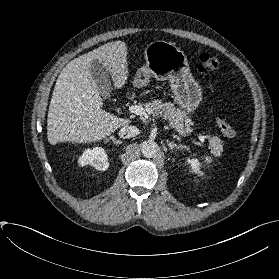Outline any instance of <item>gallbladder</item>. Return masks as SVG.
I'll return each instance as SVG.
<instances>
[{
	"label": "gallbladder",
	"mask_w": 279,
	"mask_h": 279,
	"mask_svg": "<svg viewBox=\"0 0 279 279\" xmlns=\"http://www.w3.org/2000/svg\"><path fill=\"white\" fill-rule=\"evenodd\" d=\"M91 72L100 94L105 99H109L112 86L106 67L98 59H95L91 63Z\"/></svg>",
	"instance_id": "obj_1"
}]
</instances>
